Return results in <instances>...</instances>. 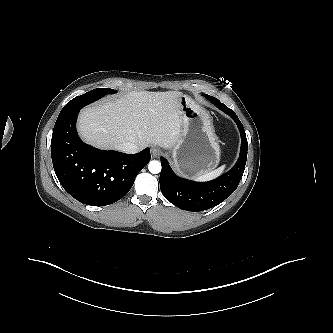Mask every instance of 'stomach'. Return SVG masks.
Segmentation results:
<instances>
[{"instance_id":"obj_1","label":"stomach","mask_w":333,"mask_h":333,"mask_svg":"<svg viewBox=\"0 0 333 333\" xmlns=\"http://www.w3.org/2000/svg\"><path fill=\"white\" fill-rule=\"evenodd\" d=\"M182 129L172 150L176 170L196 178L214 170L220 161V146L214 133L210 114L190 97L180 98Z\"/></svg>"}]
</instances>
